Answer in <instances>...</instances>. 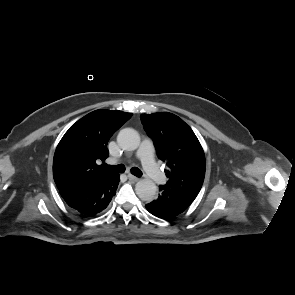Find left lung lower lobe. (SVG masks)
<instances>
[{
    "label": "left lung lower lobe",
    "instance_id": "1",
    "mask_svg": "<svg viewBox=\"0 0 295 295\" xmlns=\"http://www.w3.org/2000/svg\"><path fill=\"white\" fill-rule=\"evenodd\" d=\"M159 197L148 203L146 209L154 216L168 220L182 212L194 201L196 196L159 186Z\"/></svg>",
    "mask_w": 295,
    "mask_h": 295
}]
</instances>
